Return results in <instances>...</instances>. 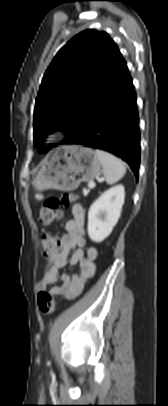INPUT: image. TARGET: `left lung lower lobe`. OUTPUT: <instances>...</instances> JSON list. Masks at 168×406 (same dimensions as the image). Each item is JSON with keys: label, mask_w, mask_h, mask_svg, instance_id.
<instances>
[{"label": "left lung lower lobe", "mask_w": 168, "mask_h": 406, "mask_svg": "<svg viewBox=\"0 0 168 406\" xmlns=\"http://www.w3.org/2000/svg\"><path fill=\"white\" fill-rule=\"evenodd\" d=\"M140 133L136 94L124 59L93 105L82 129L65 144L108 151L132 165L138 177Z\"/></svg>", "instance_id": "obj_1"}]
</instances>
